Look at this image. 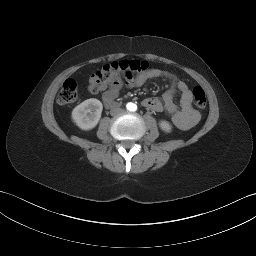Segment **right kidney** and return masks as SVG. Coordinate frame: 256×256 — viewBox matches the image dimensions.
<instances>
[{
    "label": "right kidney",
    "mask_w": 256,
    "mask_h": 256,
    "mask_svg": "<svg viewBox=\"0 0 256 256\" xmlns=\"http://www.w3.org/2000/svg\"><path fill=\"white\" fill-rule=\"evenodd\" d=\"M102 110V103L98 99L90 98L73 109L72 120L80 129L91 130L98 124Z\"/></svg>",
    "instance_id": "obj_1"
}]
</instances>
